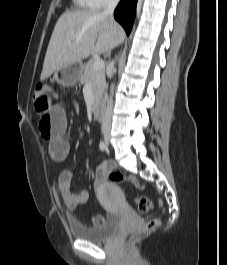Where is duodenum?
<instances>
[{"label":"duodenum","instance_id":"duodenum-1","mask_svg":"<svg viewBox=\"0 0 227 265\" xmlns=\"http://www.w3.org/2000/svg\"><path fill=\"white\" fill-rule=\"evenodd\" d=\"M92 113L95 119L102 120L104 117V105L101 102H96L92 107Z\"/></svg>","mask_w":227,"mask_h":265}]
</instances>
